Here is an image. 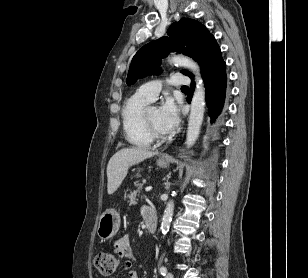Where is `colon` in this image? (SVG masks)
<instances>
[{"mask_svg": "<svg viewBox=\"0 0 308 278\" xmlns=\"http://www.w3.org/2000/svg\"><path fill=\"white\" fill-rule=\"evenodd\" d=\"M119 261L114 253L101 252L95 257V266L98 271L106 276L114 274L117 270Z\"/></svg>", "mask_w": 308, "mask_h": 278, "instance_id": "colon-1", "label": "colon"}]
</instances>
